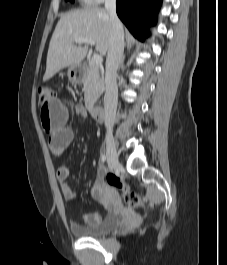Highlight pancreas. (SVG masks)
Here are the masks:
<instances>
[{
	"label": "pancreas",
	"instance_id": "cf45deb5",
	"mask_svg": "<svg viewBox=\"0 0 227 265\" xmlns=\"http://www.w3.org/2000/svg\"><path fill=\"white\" fill-rule=\"evenodd\" d=\"M104 91V75L95 64H90L84 81L85 102L93 105Z\"/></svg>",
	"mask_w": 227,
	"mask_h": 265
}]
</instances>
